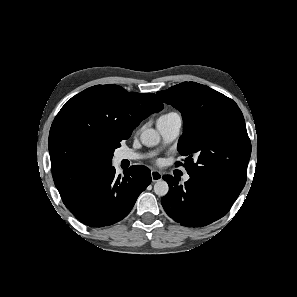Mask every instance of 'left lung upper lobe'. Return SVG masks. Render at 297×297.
I'll return each mask as SVG.
<instances>
[{"label": "left lung upper lobe", "instance_id": "left-lung-upper-lobe-1", "mask_svg": "<svg viewBox=\"0 0 297 297\" xmlns=\"http://www.w3.org/2000/svg\"><path fill=\"white\" fill-rule=\"evenodd\" d=\"M157 96L182 113L183 135L178 151L186 157L190 177L236 200L246 183L251 155L244 117L237 104L195 82L180 83L157 92Z\"/></svg>", "mask_w": 297, "mask_h": 297}]
</instances>
